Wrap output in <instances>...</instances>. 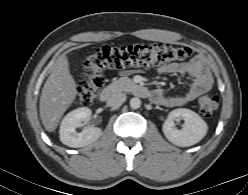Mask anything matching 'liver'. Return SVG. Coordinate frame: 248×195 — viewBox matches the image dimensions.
<instances>
[{
  "label": "liver",
  "mask_w": 248,
  "mask_h": 195,
  "mask_svg": "<svg viewBox=\"0 0 248 195\" xmlns=\"http://www.w3.org/2000/svg\"><path fill=\"white\" fill-rule=\"evenodd\" d=\"M52 71L42 89L39 109L42 124L53 132L65 111L77 96V85L70 74L68 59L61 55L53 63Z\"/></svg>",
  "instance_id": "liver-1"
}]
</instances>
